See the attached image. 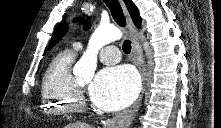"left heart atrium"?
I'll use <instances>...</instances> for the list:
<instances>
[{"mask_svg":"<svg viewBox=\"0 0 221 128\" xmlns=\"http://www.w3.org/2000/svg\"><path fill=\"white\" fill-rule=\"evenodd\" d=\"M139 87V78L131 68L108 67L96 75L89 88V97L101 109L115 111L130 105Z\"/></svg>","mask_w":221,"mask_h":128,"instance_id":"39dd6f15","label":"left heart atrium"}]
</instances>
